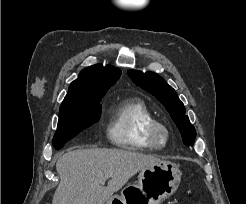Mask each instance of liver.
I'll list each match as a JSON object with an SVG mask.
<instances>
[{"label": "liver", "instance_id": "liver-1", "mask_svg": "<svg viewBox=\"0 0 246 204\" xmlns=\"http://www.w3.org/2000/svg\"><path fill=\"white\" fill-rule=\"evenodd\" d=\"M159 162L153 155L130 150H70L57 160L60 183L52 204H105L137 172ZM108 174L111 179L104 186Z\"/></svg>", "mask_w": 246, "mask_h": 204}]
</instances>
